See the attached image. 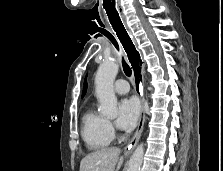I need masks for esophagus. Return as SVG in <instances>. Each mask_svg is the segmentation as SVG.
I'll return each mask as SVG.
<instances>
[{
	"label": "esophagus",
	"mask_w": 223,
	"mask_h": 171,
	"mask_svg": "<svg viewBox=\"0 0 223 171\" xmlns=\"http://www.w3.org/2000/svg\"><path fill=\"white\" fill-rule=\"evenodd\" d=\"M108 13V17L111 22V29L116 32V35L120 39L125 51L127 60L130 61L132 65L133 77H134V87L137 95L141 101V112L138 121L137 130L131 139V141L126 146L125 150L129 151L136 146L143 131V126L145 122V114H144V88H143V71H144V63L142 59L141 53L137 50L135 41L131 38L129 34V30H126L125 22L123 21L122 13H111L110 10L106 9Z\"/></svg>",
	"instance_id": "obj_1"
}]
</instances>
